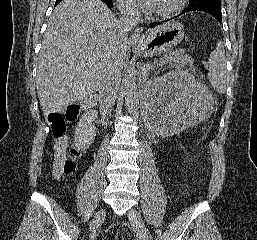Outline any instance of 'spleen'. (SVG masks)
<instances>
[{"instance_id": "obj_1", "label": "spleen", "mask_w": 257, "mask_h": 240, "mask_svg": "<svg viewBox=\"0 0 257 240\" xmlns=\"http://www.w3.org/2000/svg\"><path fill=\"white\" fill-rule=\"evenodd\" d=\"M208 64L209 82L218 93H225L228 87V73L222 42L217 43L216 49L210 54Z\"/></svg>"}]
</instances>
